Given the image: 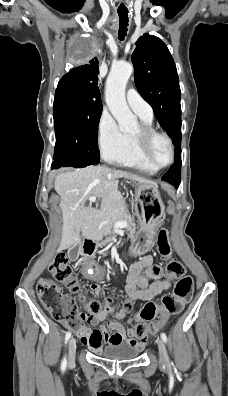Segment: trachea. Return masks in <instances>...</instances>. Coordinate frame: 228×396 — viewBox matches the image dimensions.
<instances>
[{"mask_svg":"<svg viewBox=\"0 0 228 396\" xmlns=\"http://www.w3.org/2000/svg\"><path fill=\"white\" fill-rule=\"evenodd\" d=\"M118 16H119V31H118V35H119V40L122 41L124 40L127 31H128V22H129V18H128V10L126 11H118Z\"/></svg>","mask_w":228,"mask_h":396,"instance_id":"obj_1","label":"trachea"}]
</instances>
